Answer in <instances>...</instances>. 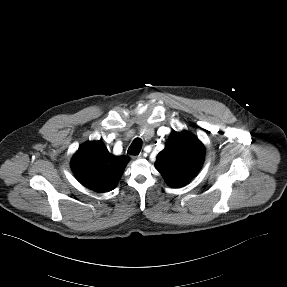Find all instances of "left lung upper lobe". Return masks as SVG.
<instances>
[{"instance_id": "obj_1", "label": "left lung upper lobe", "mask_w": 287, "mask_h": 287, "mask_svg": "<svg viewBox=\"0 0 287 287\" xmlns=\"http://www.w3.org/2000/svg\"><path fill=\"white\" fill-rule=\"evenodd\" d=\"M205 147L187 131H173L156 158L155 167L171 187L186 185L201 169Z\"/></svg>"}]
</instances>
